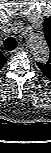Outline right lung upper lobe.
<instances>
[{
	"label": "right lung upper lobe",
	"instance_id": "cb5924a9",
	"mask_svg": "<svg viewBox=\"0 0 51 153\" xmlns=\"http://www.w3.org/2000/svg\"><path fill=\"white\" fill-rule=\"evenodd\" d=\"M6 57L0 52V69L3 66V64L6 62Z\"/></svg>",
	"mask_w": 51,
	"mask_h": 153
}]
</instances>
